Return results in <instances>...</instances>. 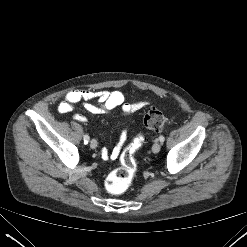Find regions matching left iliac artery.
<instances>
[{
    "mask_svg": "<svg viewBox=\"0 0 247 247\" xmlns=\"http://www.w3.org/2000/svg\"><path fill=\"white\" fill-rule=\"evenodd\" d=\"M159 141L161 142V143H163L164 141H165V138H164V136H159Z\"/></svg>",
    "mask_w": 247,
    "mask_h": 247,
    "instance_id": "left-iliac-artery-1",
    "label": "left iliac artery"
}]
</instances>
